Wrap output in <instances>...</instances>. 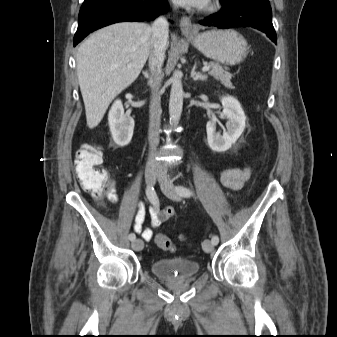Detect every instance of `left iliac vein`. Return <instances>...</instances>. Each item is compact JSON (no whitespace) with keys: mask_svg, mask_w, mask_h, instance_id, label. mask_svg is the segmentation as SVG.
<instances>
[{"mask_svg":"<svg viewBox=\"0 0 337 337\" xmlns=\"http://www.w3.org/2000/svg\"><path fill=\"white\" fill-rule=\"evenodd\" d=\"M158 181L160 183V186H161V189H162L163 193L168 198H170L172 200H175V201L180 200V196L178 195V192H177L175 186L172 184V182H170L166 178L163 170H161L159 175H158ZM202 247H203V250L206 253H211L214 250V244L209 239L204 240V242L202 244Z\"/></svg>","mask_w":337,"mask_h":337,"instance_id":"4c4485c4","label":"left iliac vein"}]
</instances>
